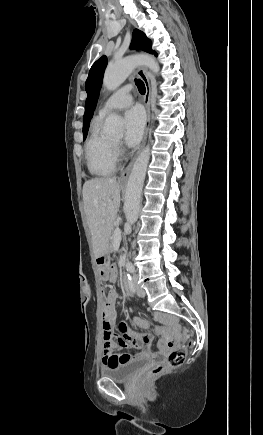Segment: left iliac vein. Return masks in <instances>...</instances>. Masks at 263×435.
I'll list each match as a JSON object with an SVG mask.
<instances>
[{"mask_svg":"<svg viewBox=\"0 0 263 435\" xmlns=\"http://www.w3.org/2000/svg\"><path fill=\"white\" fill-rule=\"evenodd\" d=\"M137 280H138L137 275H134L133 283H134V287H135L136 293H137V295L139 297H144L146 295V293H145L144 289H142L140 287V285L138 284Z\"/></svg>","mask_w":263,"mask_h":435,"instance_id":"1","label":"left iliac vein"}]
</instances>
